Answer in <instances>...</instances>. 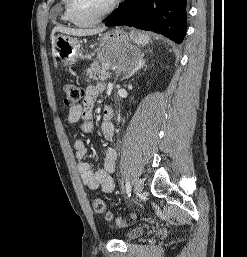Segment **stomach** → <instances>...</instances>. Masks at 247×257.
<instances>
[{
  "label": "stomach",
  "instance_id": "stomach-1",
  "mask_svg": "<svg viewBox=\"0 0 247 257\" xmlns=\"http://www.w3.org/2000/svg\"><path fill=\"white\" fill-rule=\"evenodd\" d=\"M138 35V31L128 34L120 28L104 33L100 40L99 59L126 71L133 69L140 57L139 49L132 44ZM53 46L55 54L65 65L76 62L82 49L80 40L65 35L54 37Z\"/></svg>",
  "mask_w": 247,
  "mask_h": 257
}]
</instances>
